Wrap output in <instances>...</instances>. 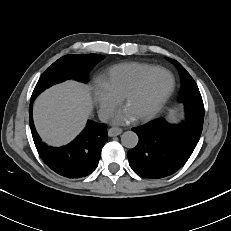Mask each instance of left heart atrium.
<instances>
[{"instance_id": "left-heart-atrium-1", "label": "left heart atrium", "mask_w": 231, "mask_h": 231, "mask_svg": "<svg viewBox=\"0 0 231 231\" xmlns=\"http://www.w3.org/2000/svg\"><path fill=\"white\" fill-rule=\"evenodd\" d=\"M136 117L126 106L121 109L114 117V122L119 124H126L133 121Z\"/></svg>"}]
</instances>
